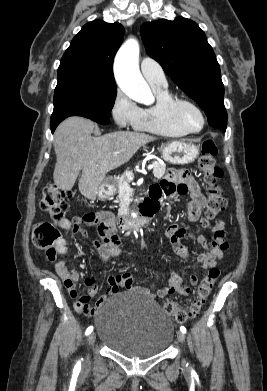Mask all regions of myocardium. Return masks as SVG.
I'll use <instances>...</instances> for the list:
<instances>
[{"mask_svg":"<svg viewBox=\"0 0 267 391\" xmlns=\"http://www.w3.org/2000/svg\"><path fill=\"white\" fill-rule=\"evenodd\" d=\"M183 106H190V107H192L194 110H196L198 112V114L200 115L201 120H202V126H201L200 129H198V130H191V129H189L185 125V123L183 122V120L181 118V115H180V109ZM167 110H168V114L171 117V119L180 128H182L186 133H189V134L200 133V132H202L204 130V128L206 126V117H205V114H204L203 110L201 109V107L198 104H196L194 101H192V100H190L188 98H185V97H173V99L167 105Z\"/></svg>","mask_w":267,"mask_h":391,"instance_id":"1","label":"myocardium"}]
</instances>
